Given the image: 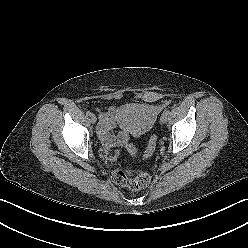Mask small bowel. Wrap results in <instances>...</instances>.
I'll return each mask as SVG.
<instances>
[{"label":"small bowel","instance_id":"obj_1","mask_svg":"<svg viewBox=\"0 0 248 248\" xmlns=\"http://www.w3.org/2000/svg\"><path fill=\"white\" fill-rule=\"evenodd\" d=\"M117 124L119 122L114 107H109L106 111L100 113L97 132L105 148L120 146L128 142L130 132L120 124L121 130L116 133L113 132Z\"/></svg>","mask_w":248,"mask_h":248}]
</instances>
